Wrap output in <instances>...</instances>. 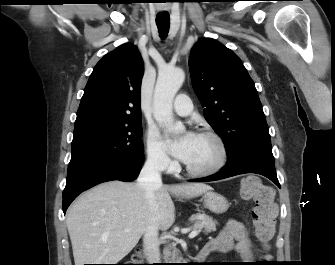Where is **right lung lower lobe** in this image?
Listing matches in <instances>:
<instances>
[{
	"mask_svg": "<svg viewBox=\"0 0 335 265\" xmlns=\"http://www.w3.org/2000/svg\"><path fill=\"white\" fill-rule=\"evenodd\" d=\"M142 160L131 163L92 162L68 170L63 191V212L83 191L110 180L129 181L137 177Z\"/></svg>",
	"mask_w": 335,
	"mask_h": 265,
	"instance_id": "1",
	"label": "right lung lower lobe"
}]
</instances>
